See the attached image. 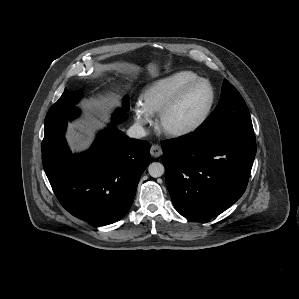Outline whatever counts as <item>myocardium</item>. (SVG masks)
<instances>
[{
	"label": "myocardium",
	"mask_w": 299,
	"mask_h": 299,
	"mask_svg": "<svg viewBox=\"0 0 299 299\" xmlns=\"http://www.w3.org/2000/svg\"><path fill=\"white\" fill-rule=\"evenodd\" d=\"M205 84L208 86L210 90V100L209 103L201 115V117L194 122L193 124L183 127V128H168L165 126V118L168 115V113L180 102V100L184 97V95L193 87ZM216 101V93L215 89L212 86V84L203 78H198L185 86H183L159 111L158 113V119H157V126L158 128L165 134L173 137H183L190 134L195 133L198 131L209 119L211 112L213 110L214 104Z\"/></svg>",
	"instance_id": "obj_1"
}]
</instances>
